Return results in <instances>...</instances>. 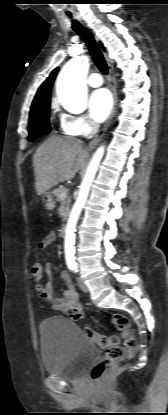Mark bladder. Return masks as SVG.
<instances>
[{
  "label": "bladder",
  "mask_w": 168,
  "mask_h": 415,
  "mask_svg": "<svg viewBox=\"0 0 168 415\" xmlns=\"http://www.w3.org/2000/svg\"><path fill=\"white\" fill-rule=\"evenodd\" d=\"M41 354L45 371L75 380L98 356V349L70 319L52 316L40 324Z\"/></svg>",
  "instance_id": "1"
}]
</instances>
